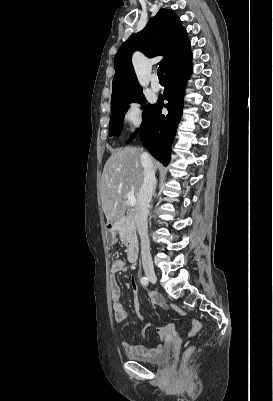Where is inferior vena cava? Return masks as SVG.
<instances>
[{
    "label": "inferior vena cava",
    "instance_id": "1",
    "mask_svg": "<svg viewBox=\"0 0 273 401\" xmlns=\"http://www.w3.org/2000/svg\"><path fill=\"white\" fill-rule=\"evenodd\" d=\"M141 160L144 166V176L141 188L139 190L138 203L135 207V225L141 239L142 259L143 261H148V259H151V253L149 247V239L147 235V207L151 201L153 194V188L155 184V172L153 168V162L147 152H143V154H141Z\"/></svg>",
    "mask_w": 273,
    "mask_h": 401
}]
</instances>
